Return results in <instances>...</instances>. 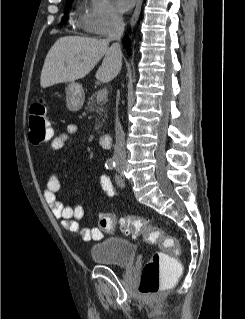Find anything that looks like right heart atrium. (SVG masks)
Instances as JSON below:
<instances>
[{
    "label": "right heart atrium",
    "mask_w": 245,
    "mask_h": 319,
    "mask_svg": "<svg viewBox=\"0 0 245 319\" xmlns=\"http://www.w3.org/2000/svg\"><path fill=\"white\" fill-rule=\"evenodd\" d=\"M121 15L109 0H90L81 25L85 32L106 35L121 24Z\"/></svg>",
    "instance_id": "1"
}]
</instances>
